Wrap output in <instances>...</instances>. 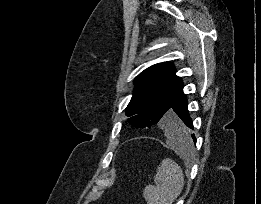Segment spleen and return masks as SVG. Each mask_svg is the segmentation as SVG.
Returning a JSON list of instances; mask_svg holds the SVG:
<instances>
[{"label":"spleen","instance_id":"1","mask_svg":"<svg viewBox=\"0 0 261 204\" xmlns=\"http://www.w3.org/2000/svg\"><path fill=\"white\" fill-rule=\"evenodd\" d=\"M173 148L181 154L191 152L192 140L176 141L168 136ZM154 185L148 184L143 191L147 204H172L180 195L184 186V176L180 166L173 160L163 159L154 176Z\"/></svg>","mask_w":261,"mask_h":204}]
</instances>
